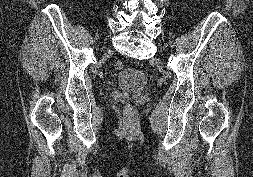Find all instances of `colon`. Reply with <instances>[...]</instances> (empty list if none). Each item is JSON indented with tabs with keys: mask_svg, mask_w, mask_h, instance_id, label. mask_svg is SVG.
<instances>
[{
	"mask_svg": "<svg viewBox=\"0 0 253 177\" xmlns=\"http://www.w3.org/2000/svg\"><path fill=\"white\" fill-rule=\"evenodd\" d=\"M114 67H115V69H117V70H121V69H123L124 64H123L122 61L118 60V61H116V62L114 63Z\"/></svg>",
	"mask_w": 253,
	"mask_h": 177,
	"instance_id": "5ec220e1",
	"label": "colon"
}]
</instances>
